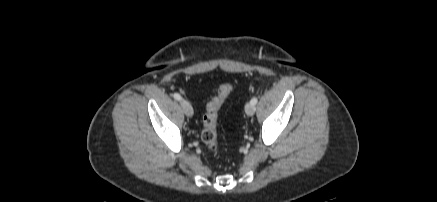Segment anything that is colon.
<instances>
[{
    "mask_svg": "<svg viewBox=\"0 0 437 202\" xmlns=\"http://www.w3.org/2000/svg\"><path fill=\"white\" fill-rule=\"evenodd\" d=\"M232 89L233 85L231 83L222 84L219 87L216 96L206 106V110L203 115V130L201 133V139L211 152H215L218 149V112L228 98Z\"/></svg>",
    "mask_w": 437,
    "mask_h": 202,
    "instance_id": "colon-1",
    "label": "colon"
}]
</instances>
